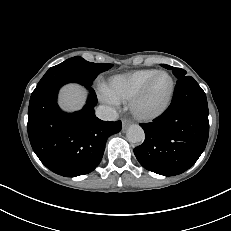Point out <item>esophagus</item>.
Wrapping results in <instances>:
<instances>
[{
  "label": "esophagus",
  "instance_id": "obj_1",
  "mask_svg": "<svg viewBox=\"0 0 231 231\" xmlns=\"http://www.w3.org/2000/svg\"><path fill=\"white\" fill-rule=\"evenodd\" d=\"M129 125H130V121H128V120H123L122 121L123 130H125Z\"/></svg>",
  "mask_w": 231,
  "mask_h": 231
}]
</instances>
